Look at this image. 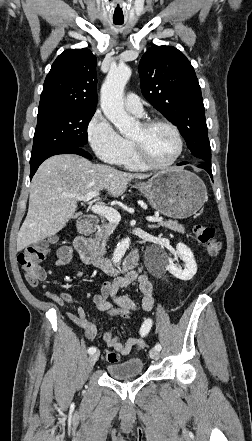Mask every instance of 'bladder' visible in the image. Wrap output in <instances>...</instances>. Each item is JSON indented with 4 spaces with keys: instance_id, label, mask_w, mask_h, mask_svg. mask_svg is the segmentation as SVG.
<instances>
[{
    "instance_id": "1",
    "label": "bladder",
    "mask_w": 252,
    "mask_h": 441,
    "mask_svg": "<svg viewBox=\"0 0 252 441\" xmlns=\"http://www.w3.org/2000/svg\"><path fill=\"white\" fill-rule=\"evenodd\" d=\"M144 363L139 358L125 360L119 363H110L106 366L107 374L116 380H129L143 373Z\"/></svg>"
}]
</instances>
